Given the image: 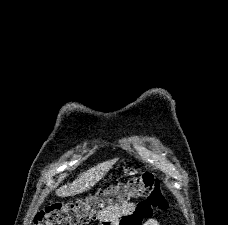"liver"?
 <instances>
[{
    "label": "liver",
    "mask_w": 228,
    "mask_h": 225,
    "mask_svg": "<svg viewBox=\"0 0 228 225\" xmlns=\"http://www.w3.org/2000/svg\"><path fill=\"white\" fill-rule=\"evenodd\" d=\"M117 161L118 159H111V161H105V163H100L97 167L88 169L86 173L78 175L73 183L59 187L56 191V195H58V197H73V195H80V193H84V191H89L91 187H94L100 179H103V177L107 175L108 171L112 169Z\"/></svg>",
    "instance_id": "obj_1"
}]
</instances>
